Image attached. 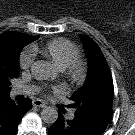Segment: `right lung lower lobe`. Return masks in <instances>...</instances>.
Instances as JSON below:
<instances>
[{"label": "right lung lower lobe", "instance_id": "right-lung-lower-lobe-1", "mask_svg": "<svg viewBox=\"0 0 135 135\" xmlns=\"http://www.w3.org/2000/svg\"><path fill=\"white\" fill-rule=\"evenodd\" d=\"M32 108L29 98L15 104L8 94L0 95V135H15L24 114Z\"/></svg>", "mask_w": 135, "mask_h": 135}]
</instances>
